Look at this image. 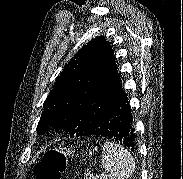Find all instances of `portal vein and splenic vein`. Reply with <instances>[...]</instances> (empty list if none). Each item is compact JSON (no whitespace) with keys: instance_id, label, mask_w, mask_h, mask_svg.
<instances>
[{"instance_id":"obj_1","label":"portal vein and splenic vein","mask_w":183,"mask_h":179,"mask_svg":"<svg viewBox=\"0 0 183 179\" xmlns=\"http://www.w3.org/2000/svg\"><path fill=\"white\" fill-rule=\"evenodd\" d=\"M101 175H102V176H106V172H103Z\"/></svg>"}]
</instances>
